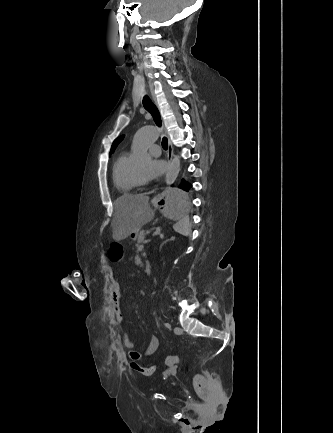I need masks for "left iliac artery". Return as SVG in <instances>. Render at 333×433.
<instances>
[{"instance_id": "left-iliac-artery-1", "label": "left iliac artery", "mask_w": 333, "mask_h": 433, "mask_svg": "<svg viewBox=\"0 0 333 433\" xmlns=\"http://www.w3.org/2000/svg\"><path fill=\"white\" fill-rule=\"evenodd\" d=\"M165 327H166L167 329H171V325H170L169 323H165Z\"/></svg>"}]
</instances>
